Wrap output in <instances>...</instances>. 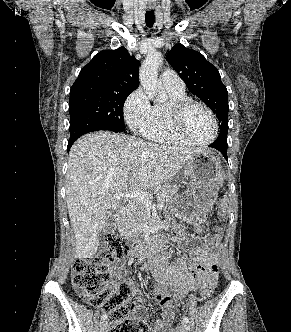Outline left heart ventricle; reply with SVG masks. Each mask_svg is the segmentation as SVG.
I'll list each match as a JSON object with an SVG mask.
<instances>
[{
  "mask_svg": "<svg viewBox=\"0 0 291 332\" xmlns=\"http://www.w3.org/2000/svg\"><path fill=\"white\" fill-rule=\"evenodd\" d=\"M185 126L187 132L199 141L210 139L214 133L213 122L209 114L200 107H194L189 110Z\"/></svg>",
  "mask_w": 291,
  "mask_h": 332,
  "instance_id": "b2bd125f",
  "label": "left heart ventricle"
}]
</instances>
